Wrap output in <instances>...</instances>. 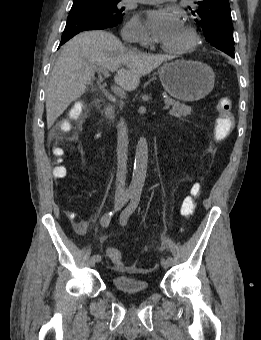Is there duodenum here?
I'll return each mask as SVG.
<instances>
[{
	"label": "duodenum",
	"instance_id": "1",
	"mask_svg": "<svg viewBox=\"0 0 261 340\" xmlns=\"http://www.w3.org/2000/svg\"><path fill=\"white\" fill-rule=\"evenodd\" d=\"M106 120H109L111 118V109H108L105 115Z\"/></svg>",
	"mask_w": 261,
	"mask_h": 340
}]
</instances>
